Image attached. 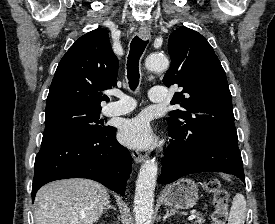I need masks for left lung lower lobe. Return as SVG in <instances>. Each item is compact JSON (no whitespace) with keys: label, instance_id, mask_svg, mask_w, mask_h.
<instances>
[{"label":"left lung lower lobe","instance_id":"left-lung-lower-lobe-1","mask_svg":"<svg viewBox=\"0 0 275 224\" xmlns=\"http://www.w3.org/2000/svg\"><path fill=\"white\" fill-rule=\"evenodd\" d=\"M169 136L172 139L162 159L161 184L199 172H224L245 182L238 139L206 134L189 138L170 129Z\"/></svg>","mask_w":275,"mask_h":224}]
</instances>
